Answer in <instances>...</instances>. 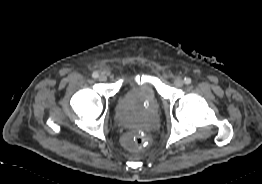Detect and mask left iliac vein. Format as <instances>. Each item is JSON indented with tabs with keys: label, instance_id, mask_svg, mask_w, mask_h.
Returning <instances> with one entry per match:
<instances>
[{
	"label": "left iliac vein",
	"instance_id": "left-iliac-vein-1",
	"mask_svg": "<svg viewBox=\"0 0 262 184\" xmlns=\"http://www.w3.org/2000/svg\"><path fill=\"white\" fill-rule=\"evenodd\" d=\"M183 84H184V81H183V79L182 78H176L175 80H174V85L175 86H177V87H181V86H183Z\"/></svg>",
	"mask_w": 262,
	"mask_h": 184
}]
</instances>
